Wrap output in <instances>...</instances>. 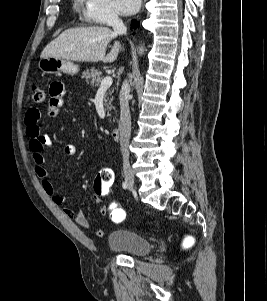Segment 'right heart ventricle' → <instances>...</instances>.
<instances>
[{
    "mask_svg": "<svg viewBox=\"0 0 267 301\" xmlns=\"http://www.w3.org/2000/svg\"><path fill=\"white\" fill-rule=\"evenodd\" d=\"M82 0H75V2L77 3V5L81 2Z\"/></svg>",
    "mask_w": 267,
    "mask_h": 301,
    "instance_id": "right-heart-ventricle-1",
    "label": "right heart ventricle"
}]
</instances>
